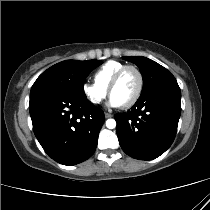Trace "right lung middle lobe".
Returning a JSON list of instances; mask_svg holds the SVG:
<instances>
[{
	"mask_svg": "<svg viewBox=\"0 0 210 210\" xmlns=\"http://www.w3.org/2000/svg\"><path fill=\"white\" fill-rule=\"evenodd\" d=\"M102 64L99 60H66L57 63L43 72L33 84L30 96L59 91L86 97L84 80L96 67Z\"/></svg>",
	"mask_w": 210,
	"mask_h": 210,
	"instance_id": "dd1d6c3e",
	"label": "right lung middle lobe"
}]
</instances>
